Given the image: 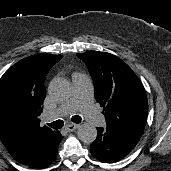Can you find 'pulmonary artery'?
I'll list each match as a JSON object with an SVG mask.
<instances>
[{"label":"pulmonary artery","instance_id":"1","mask_svg":"<svg viewBox=\"0 0 171 171\" xmlns=\"http://www.w3.org/2000/svg\"><path fill=\"white\" fill-rule=\"evenodd\" d=\"M72 85L73 93L71 97L56 110L47 113L45 120L50 122L71 115L76 111H81L93 126H102L105 119L93 104V88L90 77L84 73H75L72 75Z\"/></svg>","mask_w":171,"mask_h":171}]
</instances>
